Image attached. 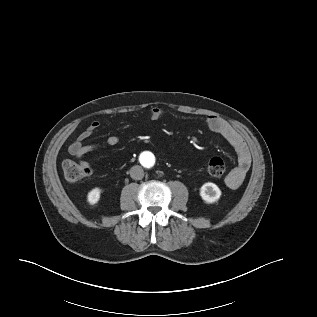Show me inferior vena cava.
Here are the masks:
<instances>
[{
  "label": "inferior vena cava",
  "mask_w": 317,
  "mask_h": 317,
  "mask_svg": "<svg viewBox=\"0 0 317 317\" xmlns=\"http://www.w3.org/2000/svg\"><path fill=\"white\" fill-rule=\"evenodd\" d=\"M130 176L135 180H141L144 177V170L141 166L135 165L130 169Z\"/></svg>",
  "instance_id": "obj_1"
}]
</instances>
